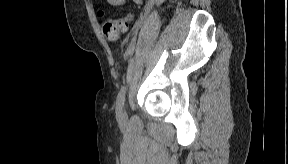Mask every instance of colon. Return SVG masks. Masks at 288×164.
<instances>
[{
    "label": "colon",
    "mask_w": 288,
    "mask_h": 164,
    "mask_svg": "<svg viewBox=\"0 0 288 164\" xmlns=\"http://www.w3.org/2000/svg\"><path fill=\"white\" fill-rule=\"evenodd\" d=\"M133 18L132 13H127L122 18H108L101 19V26L104 33V36L109 41H116L124 34L130 24L131 19Z\"/></svg>",
    "instance_id": "obj_1"
}]
</instances>
